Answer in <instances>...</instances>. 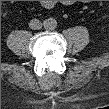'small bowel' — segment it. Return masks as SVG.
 I'll return each mask as SVG.
<instances>
[{
	"label": "small bowel",
	"instance_id": "small-bowel-1",
	"mask_svg": "<svg viewBox=\"0 0 109 109\" xmlns=\"http://www.w3.org/2000/svg\"><path fill=\"white\" fill-rule=\"evenodd\" d=\"M51 5H52L51 1H45L44 2V6L47 7V8L50 7Z\"/></svg>",
	"mask_w": 109,
	"mask_h": 109
}]
</instances>
